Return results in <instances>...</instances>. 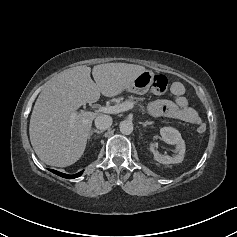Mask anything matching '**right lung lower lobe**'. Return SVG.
<instances>
[{
	"label": "right lung lower lobe",
	"mask_w": 237,
	"mask_h": 237,
	"mask_svg": "<svg viewBox=\"0 0 237 237\" xmlns=\"http://www.w3.org/2000/svg\"><path fill=\"white\" fill-rule=\"evenodd\" d=\"M50 171L61 176V177L67 178V179H73V178L79 177L83 173V171H81V172L74 174V175H68V174H64V173H61L59 171L52 170V169H50Z\"/></svg>",
	"instance_id": "1"
}]
</instances>
